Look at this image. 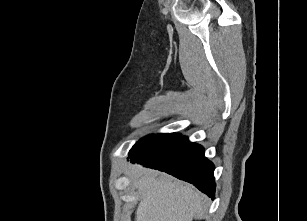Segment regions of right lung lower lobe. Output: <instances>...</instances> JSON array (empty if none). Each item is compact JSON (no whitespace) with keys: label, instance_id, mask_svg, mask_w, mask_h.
<instances>
[{"label":"right lung lower lobe","instance_id":"1","mask_svg":"<svg viewBox=\"0 0 307 221\" xmlns=\"http://www.w3.org/2000/svg\"><path fill=\"white\" fill-rule=\"evenodd\" d=\"M131 162L158 169L192 183L212 199L215 194L214 165L201 145L180 136L165 144L143 151H130Z\"/></svg>","mask_w":307,"mask_h":221}]
</instances>
